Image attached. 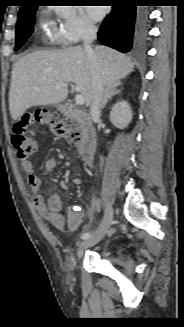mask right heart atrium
Listing matches in <instances>:
<instances>
[{
    "instance_id": "right-heart-atrium-1",
    "label": "right heart atrium",
    "mask_w": 184,
    "mask_h": 327,
    "mask_svg": "<svg viewBox=\"0 0 184 327\" xmlns=\"http://www.w3.org/2000/svg\"><path fill=\"white\" fill-rule=\"evenodd\" d=\"M96 27L80 7H66L59 21L52 23L50 35L54 42L69 46L94 35Z\"/></svg>"
}]
</instances>
